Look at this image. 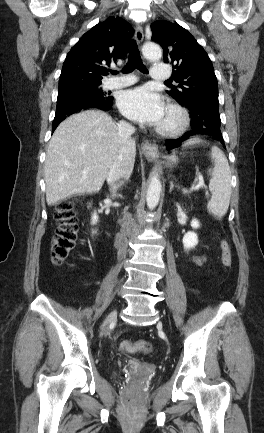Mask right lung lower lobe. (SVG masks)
Instances as JSON below:
<instances>
[{
	"instance_id": "obj_1",
	"label": "right lung lower lobe",
	"mask_w": 264,
	"mask_h": 433,
	"mask_svg": "<svg viewBox=\"0 0 264 433\" xmlns=\"http://www.w3.org/2000/svg\"><path fill=\"white\" fill-rule=\"evenodd\" d=\"M112 96L97 97L78 95L70 98L67 102H61L62 110L55 114L52 125V132L69 115L89 108H97L109 111L112 107Z\"/></svg>"
}]
</instances>
